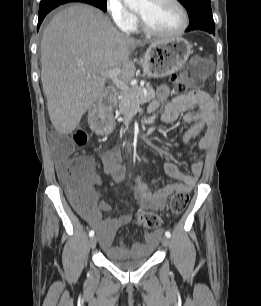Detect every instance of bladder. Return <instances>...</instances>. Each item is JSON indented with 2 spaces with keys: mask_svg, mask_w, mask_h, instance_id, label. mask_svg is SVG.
I'll return each mask as SVG.
<instances>
[{
  "mask_svg": "<svg viewBox=\"0 0 261 306\" xmlns=\"http://www.w3.org/2000/svg\"><path fill=\"white\" fill-rule=\"evenodd\" d=\"M150 258L151 252L145 249L138 252L128 250L118 255L106 254L108 262L124 271L135 270L148 262Z\"/></svg>",
  "mask_w": 261,
  "mask_h": 306,
  "instance_id": "bladder-1",
  "label": "bladder"
}]
</instances>
